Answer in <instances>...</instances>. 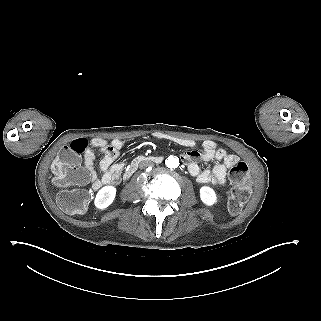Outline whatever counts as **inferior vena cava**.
Returning a JSON list of instances; mask_svg holds the SVG:
<instances>
[{
  "label": "inferior vena cava",
  "mask_w": 321,
  "mask_h": 321,
  "mask_svg": "<svg viewBox=\"0 0 321 321\" xmlns=\"http://www.w3.org/2000/svg\"><path fill=\"white\" fill-rule=\"evenodd\" d=\"M154 163L150 160H143L139 163V168L144 169L146 167H153Z\"/></svg>",
  "instance_id": "602c4592"
}]
</instances>
